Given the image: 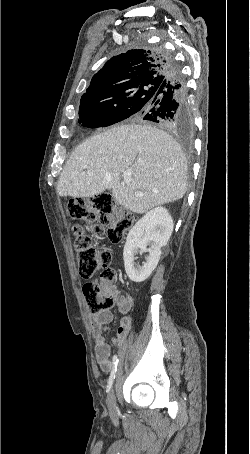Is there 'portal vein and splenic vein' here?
Segmentation results:
<instances>
[{"mask_svg": "<svg viewBox=\"0 0 250 454\" xmlns=\"http://www.w3.org/2000/svg\"><path fill=\"white\" fill-rule=\"evenodd\" d=\"M129 181H130V176H129V175H126V176L124 177V180H123L122 184L125 185L126 183H129Z\"/></svg>", "mask_w": 250, "mask_h": 454, "instance_id": "obj_1", "label": "portal vein and splenic vein"}]
</instances>
